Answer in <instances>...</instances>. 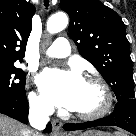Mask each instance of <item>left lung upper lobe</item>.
I'll list each match as a JSON object with an SVG mask.
<instances>
[{
	"label": "left lung upper lobe",
	"mask_w": 136,
	"mask_h": 136,
	"mask_svg": "<svg viewBox=\"0 0 136 136\" xmlns=\"http://www.w3.org/2000/svg\"><path fill=\"white\" fill-rule=\"evenodd\" d=\"M70 16L69 34L80 54L113 89L118 101L134 99L132 60L125 25L99 0H61Z\"/></svg>",
	"instance_id": "1"
}]
</instances>
